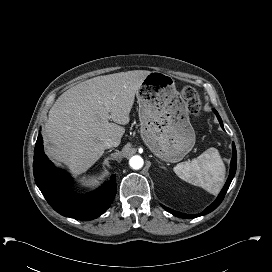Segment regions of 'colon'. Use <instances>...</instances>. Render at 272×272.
Here are the masks:
<instances>
[{
    "label": "colon",
    "instance_id": "1",
    "mask_svg": "<svg viewBox=\"0 0 272 272\" xmlns=\"http://www.w3.org/2000/svg\"><path fill=\"white\" fill-rule=\"evenodd\" d=\"M181 95L186 102L189 111L194 116H199L202 111V102L197 91L193 87L185 86L181 91Z\"/></svg>",
    "mask_w": 272,
    "mask_h": 272
}]
</instances>
